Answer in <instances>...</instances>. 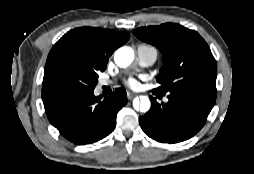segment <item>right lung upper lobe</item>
<instances>
[{
	"label": "right lung upper lobe",
	"mask_w": 254,
	"mask_h": 174,
	"mask_svg": "<svg viewBox=\"0 0 254 174\" xmlns=\"http://www.w3.org/2000/svg\"><path fill=\"white\" fill-rule=\"evenodd\" d=\"M128 39V32L92 27L73 29L53 46L47 57L46 67L58 58L69 57L88 67L104 71L114 50Z\"/></svg>",
	"instance_id": "cb5924a9"
}]
</instances>
